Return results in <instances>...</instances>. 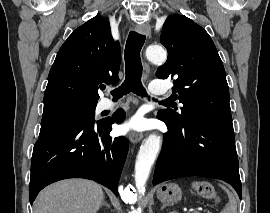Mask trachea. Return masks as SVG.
Listing matches in <instances>:
<instances>
[{
  "mask_svg": "<svg viewBox=\"0 0 270 213\" xmlns=\"http://www.w3.org/2000/svg\"><path fill=\"white\" fill-rule=\"evenodd\" d=\"M144 42L145 35L135 31L129 33L124 53L126 77L122 85L112 91L114 99H118L130 92L142 97L147 96L141 82L143 66L140 59V51Z\"/></svg>",
  "mask_w": 270,
  "mask_h": 213,
  "instance_id": "obj_1",
  "label": "trachea"
}]
</instances>
